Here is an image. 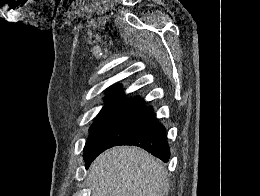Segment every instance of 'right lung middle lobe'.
Returning <instances> with one entry per match:
<instances>
[{
  "label": "right lung middle lobe",
  "instance_id": "obj_1",
  "mask_svg": "<svg viewBox=\"0 0 260 196\" xmlns=\"http://www.w3.org/2000/svg\"><path fill=\"white\" fill-rule=\"evenodd\" d=\"M156 120L147 108L107 105L90 127L84 150H106Z\"/></svg>",
  "mask_w": 260,
  "mask_h": 196
}]
</instances>
